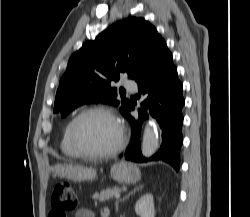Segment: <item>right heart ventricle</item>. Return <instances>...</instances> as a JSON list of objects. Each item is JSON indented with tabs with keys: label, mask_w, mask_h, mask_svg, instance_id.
I'll return each instance as SVG.
<instances>
[{
	"label": "right heart ventricle",
	"mask_w": 250,
	"mask_h": 217,
	"mask_svg": "<svg viewBox=\"0 0 250 217\" xmlns=\"http://www.w3.org/2000/svg\"><path fill=\"white\" fill-rule=\"evenodd\" d=\"M69 123H67L63 129L61 141H60V148L64 155L70 158H79L80 155L77 151L73 148L69 141V134H68Z\"/></svg>",
	"instance_id": "obj_1"
}]
</instances>
